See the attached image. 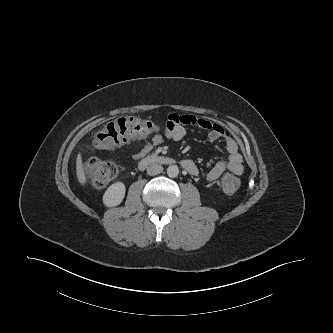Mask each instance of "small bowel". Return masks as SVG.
<instances>
[{"label": "small bowel", "mask_w": 333, "mask_h": 333, "mask_svg": "<svg viewBox=\"0 0 333 333\" xmlns=\"http://www.w3.org/2000/svg\"><path fill=\"white\" fill-rule=\"evenodd\" d=\"M196 125L199 128L208 131V139L215 143L223 140L228 153L227 160H221L205 174V180L208 183L216 182L224 172L229 171L235 175L243 172L242 156L239 153L238 145L233 138L228 136L223 127L216 123H211L203 118H195L192 115H182L172 113L169 115L166 123V131L164 135L157 134L150 139H145L143 148L135 154V159H140L149 153L155 146L160 145L165 138L178 142L182 140L186 134L185 126ZM183 167L192 175L198 174L196 164L191 159L182 161Z\"/></svg>", "instance_id": "c3829d8e"}]
</instances>
